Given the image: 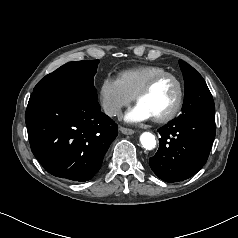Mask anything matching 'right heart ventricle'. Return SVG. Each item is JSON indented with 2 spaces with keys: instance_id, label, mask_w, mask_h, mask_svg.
Wrapping results in <instances>:
<instances>
[{
  "instance_id": "obj_1",
  "label": "right heart ventricle",
  "mask_w": 238,
  "mask_h": 238,
  "mask_svg": "<svg viewBox=\"0 0 238 238\" xmlns=\"http://www.w3.org/2000/svg\"><path fill=\"white\" fill-rule=\"evenodd\" d=\"M164 72L166 70L160 66L142 65L120 72L117 80L123 90L133 98L151 77Z\"/></svg>"
}]
</instances>
